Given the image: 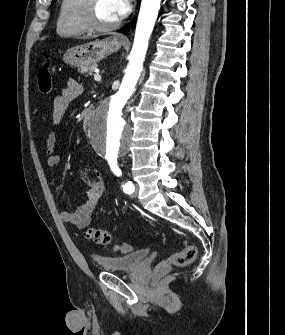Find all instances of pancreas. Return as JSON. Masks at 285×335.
Masks as SVG:
<instances>
[{"instance_id":"obj_1","label":"pancreas","mask_w":285,"mask_h":335,"mask_svg":"<svg viewBox=\"0 0 285 335\" xmlns=\"http://www.w3.org/2000/svg\"><path fill=\"white\" fill-rule=\"evenodd\" d=\"M96 68H98V64H90V66H83V68H80V74L84 78H87L92 74V72H95Z\"/></svg>"}]
</instances>
